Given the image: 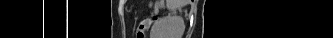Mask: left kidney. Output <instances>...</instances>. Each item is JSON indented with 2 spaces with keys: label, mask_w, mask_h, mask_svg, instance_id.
<instances>
[{
  "label": "left kidney",
  "mask_w": 333,
  "mask_h": 38,
  "mask_svg": "<svg viewBox=\"0 0 333 38\" xmlns=\"http://www.w3.org/2000/svg\"><path fill=\"white\" fill-rule=\"evenodd\" d=\"M184 31L183 18L177 15H168L154 24L151 34L152 38H182Z\"/></svg>",
  "instance_id": "1"
}]
</instances>
